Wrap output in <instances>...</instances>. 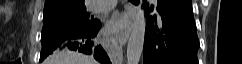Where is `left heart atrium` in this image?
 I'll list each match as a JSON object with an SVG mask.
<instances>
[{"mask_svg": "<svg viewBox=\"0 0 242 64\" xmlns=\"http://www.w3.org/2000/svg\"><path fill=\"white\" fill-rule=\"evenodd\" d=\"M126 26V20L124 17H119L116 19H113L112 21H110V23L108 24V31L111 33H115L118 32L119 30L123 29Z\"/></svg>", "mask_w": 242, "mask_h": 64, "instance_id": "obj_1", "label": "left heart atrium"}]
</instances>
